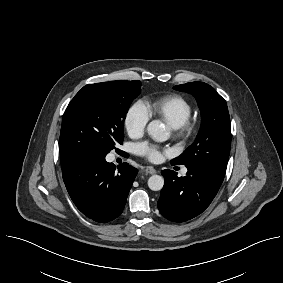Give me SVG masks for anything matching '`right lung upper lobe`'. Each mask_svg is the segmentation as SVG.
<instances>
[{"label":"right lung upper lobe","instance_id":"right-lung-upper-lobe-1","mask_svg":"<svg viewBox=\"0 0 283 283\" xmlns=\"http://www.w3.org/2000/svg\"><path fill=\"white\" fill-rule=\"evenodd\" d=\"M70 163L71 161L61 160L62 169L66 168Z\"/></svg>","mask_w":283,"mask_h":283}]
</instances>
